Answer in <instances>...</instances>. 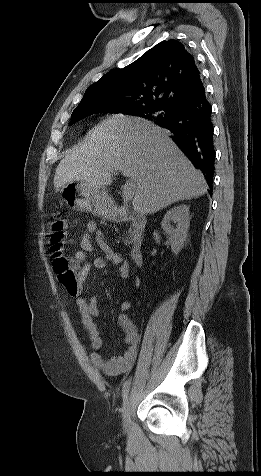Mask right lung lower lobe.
<instances>
[{
  "mask_svg": "<svg viewBox=\"0 0 261 476\" xmlns=\"http://www.w3.org/2000/svg\"><path fill=\"white\" fill-rule=\"evenodd\" d=\"M211 113L203 89L192 101L174 108L168 117L154 121L173 133V141L194 167L202 171L208 184H212L215 163Z\"/></svg>",
  "mask_w": 261,
  "mask_h": 476,
  "instance_id": "right-lung-lower-lobe-1",
  "label": "right lung lower lobe"
}]
</instances>
